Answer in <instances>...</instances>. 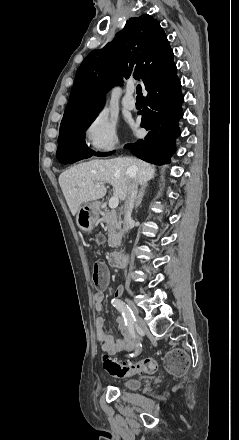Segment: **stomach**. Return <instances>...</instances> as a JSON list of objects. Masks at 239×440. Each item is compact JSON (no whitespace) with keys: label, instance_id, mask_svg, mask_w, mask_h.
I'll return each instance as SVG.
<instances>
[{"label":"stomach","instance_id":"0dacf381","mask_svg":"<svg viewBox=\"0 0 239 440\" xmlns=\"http://www.w3.org/2000/svg\"><path fill=\"white\" fill-rule=\"evenodd\" d=\"M100 202H83L78 208L76 224L82 232H92L94 224L99 220Z\"/></svg>","mask_w":239,"mask_h":440}]
</instances>
